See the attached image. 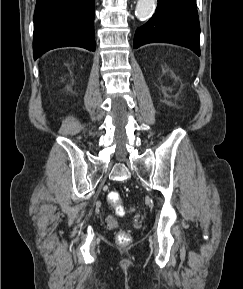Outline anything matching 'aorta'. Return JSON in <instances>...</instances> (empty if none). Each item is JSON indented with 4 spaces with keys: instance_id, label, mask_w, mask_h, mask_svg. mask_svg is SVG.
<instances>
[{
    "instance_id": "obj_1",
    "label": "aorta",
    "mask_w": 243,
    "mask_h": 289,
    "mask_svg": "<svg viewBox=\"0 0 243 289\" xmlns=\"http://www.w3.org/2000/svg\"><path fill=\"white\" fill-rule=\"evenodd\" d=\"M155 1L156 0H138L135 9L136 17L141 21L148 19L154 10Z\"/></svg>"
}]
</instances>
